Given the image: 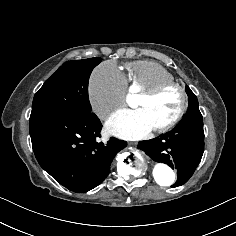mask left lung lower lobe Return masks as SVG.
Wrapping results in <instances>:
<instances>
[{
	"label": "left lung lower lobe",
	"instance_id": "1",
	"mask_svg": "<svg viewBox=\"0 0 236 236\" xmlns=\"http://www.w3.org/2000/svg\"><path fill=\"white\" fill-rule=\"evenodd\" d=\"M138 148L154 161L177 170V181L172 187L183 185L193 175L204 152L203 120H181L173 130L140 141Z\"/></svg>",
	"mask_w": 236,
	"mask_h": 236
}]
</instances>
